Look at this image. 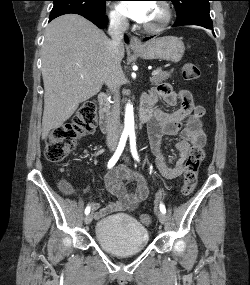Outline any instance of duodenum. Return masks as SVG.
Segmentation results:
<instances>
[{
    "label": "duodenum",
    "mask_w": 250,
    "mask_h": 285,
    "mask_svg": "<svg viewBox=\"0 0 250 285\" xmlns=\"http://www.w3.org/2000/svg\"><path fill=\"white\" fill-rule=\"evenodd\" d=\"M99 104V125L103 132H108L111 128V113L109 97L106 93H100L98 96ZM152 114L150 105L143 102L139 110V118L142 122L149 120Z\"/></svg>",
    "instance_id": "410a0bca"
}]
</instances>
